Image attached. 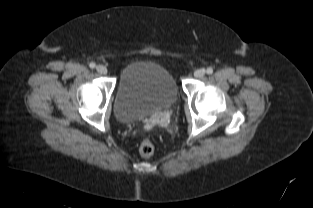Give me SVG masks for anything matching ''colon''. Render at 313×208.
I'll return each mask as SVG.
<instances>
[{"instance_id": "colon-1", "label": "colon", "mask_w": 313, "mask_h": 208, "mask_svg": "<svg viewBox=\"0 0 313 208\" xmlns=\"http://www.w3.org/2000/svg\"><path fill=\"white\" fill-rule=\"evenodd\" d=\"M139 152L145 158L151 157L154 153V144L152 140L149 138L144 139L140 143Z\"/></svg>"}]
</instances>
